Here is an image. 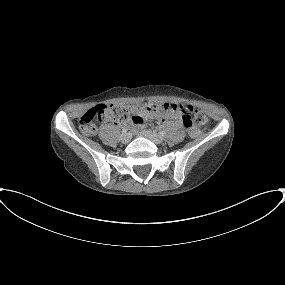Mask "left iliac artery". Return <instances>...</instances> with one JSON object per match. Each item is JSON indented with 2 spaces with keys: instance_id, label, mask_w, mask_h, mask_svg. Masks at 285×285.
I'll return each mask as SVG.
<instances>
[{
  "instance_id": "obj_1",
  "label": "left iliac artery",
  "mask_w": 285,
  "mask_h": 285,
  "mask_svg": "<svg viewBox=\"0 0 285 285\" xmlns=\"http://www.w3.org/2000/svg\"><path fill=\"white\" fill-rule=\"evenodd\" d=\"M159 134H160L161 136H165L166 133H165L164 131H160Z\"/></svg>"
}]
</instances>
